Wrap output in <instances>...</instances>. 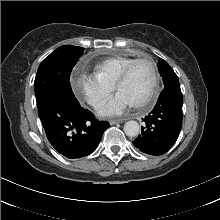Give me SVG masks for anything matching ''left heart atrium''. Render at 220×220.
I'll use <instances>...</instances> for the list:
<instances>
[{"instance_id":"left-heart-atrium-1","label":"left heart atrium","mask_w":220,"mask_h":220,"mask_svg":"<svg viewBox=\"0 0 220 220\" xmlns=\"http://www.w3.org/2000/svg\"><path fill=\"white\" fill-rule=\"evenodd\" d=\"M133 105L132 101L125 94L118 92L115 97L98 110V114L101 116L118 115Z\"/></svg>"}]
</instances>
